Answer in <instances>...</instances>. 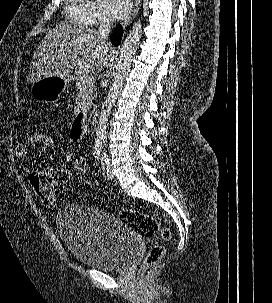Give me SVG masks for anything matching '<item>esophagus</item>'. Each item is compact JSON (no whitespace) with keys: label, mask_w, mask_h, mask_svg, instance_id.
<instances>
[{"label":"esophagus","mask_w":272,"mask_h":303,"mask_svg":"<svg viewBox=\"0 0 272 303\" xmlns=\"http://www.w3.org/2000/svg\"><path fill=\"white\" fill-rule=\"evenodd\" d=\"M141 5V0H135L134 2V6L132 9V12L130 13V15L122 22L123 26H127L129 25L133 19L136 17V15L138 14L139 8Z\"/></svg>","instance_id":"esophagus-1"}]
</instances>
